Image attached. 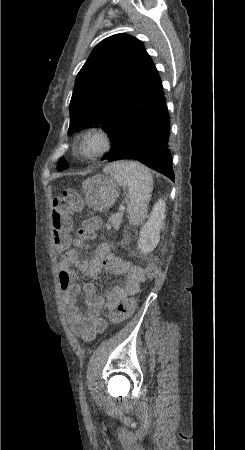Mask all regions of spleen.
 Returning <instances> with one entry per match:
<instances>
[{
	"label": "spleen",
	"instance_id": "1",
	"mask_svg": "<svg viewBox=\"0 0 245 450\" xmlns=\"http://www.w3.org/2000/svg\"><path fill=\"white\" fill-rule=\"evenodd\" d=\"M124 188H127L128 218L131 224L139 225L147 214L153 189V178L148 168L139 162L118 161L104 168Z\"/></svg>",
	"mask_w": 245,
	"mask_h": 450
}]
</instances>
